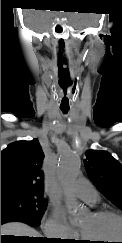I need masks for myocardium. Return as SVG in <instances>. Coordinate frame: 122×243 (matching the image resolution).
Instances as JSON below:
<instances>
[{"instance_id":"myocardium-1","label":"myocardium","mask_w":122,"mask_h":243,"mask_svg":"<svg viewBox=\"0 0 122 243\" xmlns=\"http://www.w3.org/2000/svg\"><path fill=\"white\" fill-rule=\"evenodd\" d=\"M94 217H105V216H113L116 217L117 219H119L122 222V214L113 211V210H109V209H98V210H94L91 213ZM80 236L82 239H86L87 237L81 232L80 230Z\"/></svg>"}]
</instances>
